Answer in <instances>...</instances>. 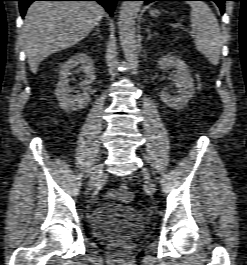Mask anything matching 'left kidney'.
<instances>
[{"label": "left kidney", "mask_w": 247, "mask_h": 265, "mask_svg": "<svg viewBox=\"0 0 247 265\" xmlns=\"http://www.w3.org/2000/svg\"><path fill=\"white\" fill-rule=\"evenodd\" d=\"M158 67L160 69L176 68L174 81L178 88V95L171 96L169 93L162 91L160 96L162 101L169 107L182 109L194 94V80L190 75L189 67L180 57L173 56L171 53L159 59Z\"/></svg>", "instance_id": "obj_1"}]
</instances>
